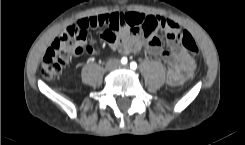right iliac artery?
Instances as JSON below:
<instances>
[{
  "label": "right iliac artery",
  "mask_w": 245,
  "mask_h": 145,
  "mask_svg": "<svg viewBox=\"0 0 245 145\" xmlns=\"http://www.w3.org/2000/svg\"><path fill=\"white\" fill-rule=\"evenodd\" d=\"M121 63H122V64H126V63H127V58H126V57H123V58L121 59Z\"/></svg>",
  "instance_id": "right-iliac-artery-1"
}]
</instances>
